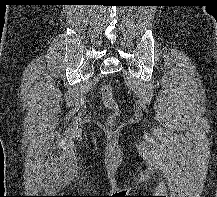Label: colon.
<instances>
[{
	"label": "colon",
	"mask_w": 217,
	"mask_h": 197,
	"mask_svg": "<svg viewBox=\"0 0 217 197\" xmlns=\"http://www.w3.org/2000/svg\"><path fill=\"white\" fill-rule=\"evenodd\" d=\"M101 95H102V101L103 104L110 109H116L117 108V103L116 100L114 98V94H113V89L111 87V85L106 84L102 87L101 90Z\"/></svg>",
	"instance_id": "5ec220e1"
}]
</instances>
